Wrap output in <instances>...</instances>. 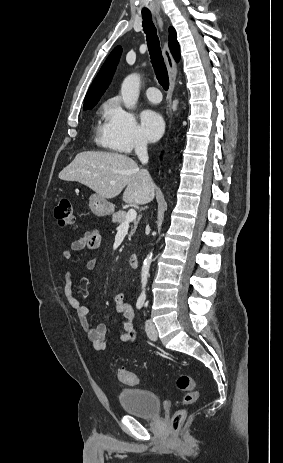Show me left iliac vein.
I'll return each instance as SVG.
<instances>
[{
  "label": "left iliac vein",
  "mask_w": 283,
  "mask_h": 463,
  "mask_svg": "<svg viewBox=\"0 0 283 463\" xmlns=\"http://www.w3.org/2000/svg\"><path fill=\"white\" fill-rule=\"evenodd\" d=\"M145 330H146V333H147L148 337L151 340H156L157 339L156 327H155L154 323L149 319H147L145 321Z\"/></svg>",
  "instance_id": "left-iliac-vein-1"
}]
</instances>
